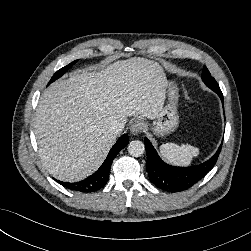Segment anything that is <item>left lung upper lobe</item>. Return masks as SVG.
<instances>
[{
	"mask_svg": "<svg viewBox=\"0 0 251 251\" xmlns=\"http://www.w3.org/2000/svg\"><path fill=\"white\" fill-rule=\"evenodd\" d=\"M201 78L210 89H220L216 80L211 76L206 66L203 67V74Z\"/></svg>",
	"mask_w": 251,
	"mask_h": 251,
	"instance_id": "5c2ea615",
	"label": "left lung upper lobe"
}]
</instances>
